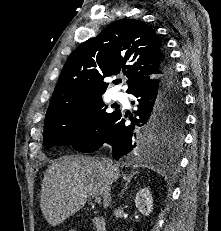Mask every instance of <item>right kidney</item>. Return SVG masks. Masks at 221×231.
Returning a JSON list of instances; mask_svg holds the SVG:
<instances>
[{
	"mask_svg": "<svg viewBox=\"0 0 221 231\" xmlns=\"http://www.w3.org/2000/svg\"><path fill=\"white\" fill-rule=\"evenodd\" d=\"M135 205L141 214L149 216L153 209V198L148 188L138 191L135 198Z\"/></svg>",
	"mask_w": 221,
	"mask_h": 231,
	"instance_id": "right-kidney-1",
	"label": "right kidney"
}]
</instances>
